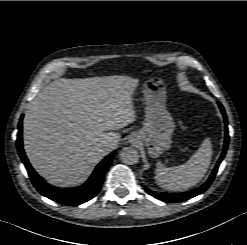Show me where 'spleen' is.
Here are the masks:
<instances>
[{"label": "spleen", "instance_id": "1", "mask_svg": "<svg viewBox=\"0 0 247 245\" xmlns=\"http://www.w3.org/2000/svg\"><path fill=\"white\" fill-rule=\"evenodd\" d=\"M212 157V144L205 138L190 159L179 166L166 167L157 163L155 180L168 191H185L195 186L206 174Z\"/></svg>", "mask_w": 247, "mask_h": 245}]
</instances>
